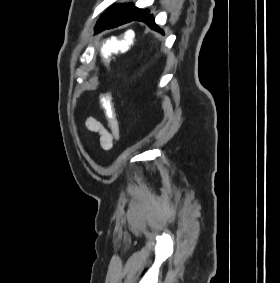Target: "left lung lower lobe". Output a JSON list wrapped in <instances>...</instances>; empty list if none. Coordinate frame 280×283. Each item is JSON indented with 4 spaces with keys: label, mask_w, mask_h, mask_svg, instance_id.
Instances as JSON below:
<instances>
[{
    "label": "left lung lower lobe",
    "mask_w": 280,
    "mask_h": 283,
    "mask_svg": "<svg viewBox=\"0 0 280 283\" xmlns=\"http://www.w3.org/2000/svg\"><path fill=\"white\" fill-rule=\"evenodd\" d=\"M131 21H141L144 22L146 25H148L150 28H152L155 31H158L163 34L162 29H160L157 24L154 21V17L152 14H150L149 10H139L134 16L129 18H116L111 21H106L104 24L99 26L95 31L101 32L104 29H110L117 27L119 25L131 22Z\"/></svg>",
    "instance_id": "obj_1"
}]
</instances>
